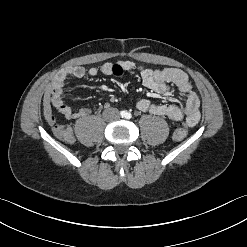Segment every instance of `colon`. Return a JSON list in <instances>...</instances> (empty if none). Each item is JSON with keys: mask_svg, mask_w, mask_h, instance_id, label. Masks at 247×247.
Returning a JSON list of instances; mask_svg holds the SVG:
<instances>
[{"mask_svg": "<svg viewBox=\"0 0 247 247\" xmlns=\"http://www.w3.org/2000/svg\"><path fill=\"white\" fill-rule=\"evenodd\" d=\"M129 100L131 103L136 104L139 102L140 97L138 94L133 93L130 95ZM50 121L53 125V132L56 137L66 142L73 141V133L69 126L58 124L54 116L50 118ZM187 135L188 131L185 128H177L173 132L172 138L174 141H182L187 137Z\"/></svg>", "mask_w": 247, "mask_h": 247, "instance_id": "colon-1", "label": "colon"}]
</instances>
